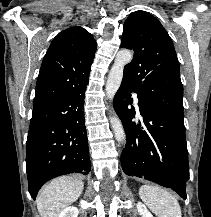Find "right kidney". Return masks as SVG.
Instances as JSON below:
<instances>
[{"label":"right kidney","mask_w":211,"mask_h":217,"mask_svg":"<svg viewBox=\"0 0 211 217\" xmlns=\"http://www.w3.org/2000/svg\"><path fill=\"white\" fill-rule=\"evenodd\" d=\"M78 209L75 206L65 208L58 217H78Z\"/></svg>","instance_id":"ca27d5eb"}]
</instances>
